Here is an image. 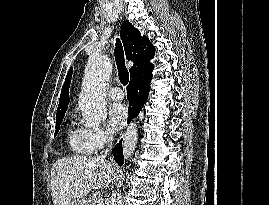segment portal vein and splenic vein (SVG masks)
Here are the masks:
<instances>
[{
	"instance_id": "obj_1",
	"label": "portal vein and splenic vein",
	"mask_w": 269,
	"mask_h": 205,
	"mask_svg": "<svg viewBox=\"0 0 269 205\" xmlns=\"http://www.w3.org/2000/svg\"><path fill=\"white\" fill-rule=\"evenodd\" d=\"M94 205H103V198L102 197H96L94 201Z\"/></svg>"
}]
</instances>
